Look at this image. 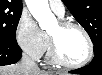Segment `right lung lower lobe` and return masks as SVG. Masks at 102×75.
Here are the masks:
<instances>
[{
    "label": "right lung lower lobe",
    "instance_id": "obj_1",
    "mask_svg": "<svg viewBox=\"0 0 102 75\" xmlns=\"http://www.w3.org/2000/svg\"><path fill=\"white\" fill-rule=\"evenodd\" d=\"M22 51L18 44L0 42V66L16 63Z\"/></svg>",
    "mask_w": 102,
    "mask_h": 75
}]
</instances>
